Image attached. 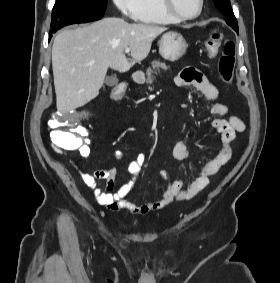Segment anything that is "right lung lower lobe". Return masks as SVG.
I'll return each instance as SVG.
<instances>
[{"label": "right lung lower lobe", "mask_w": 280, "mask_h": 283, "mask_svg": "<svg viewBox=\"0 0 280 283\" xmlns=\"http://www.w3.org/2000/svg\"><path fill=\"white\" fill-rule=\"evenodd\" d=\"M55 32H56V31H54V32H51L49 39H50V38L52 37V34H53V33H55Z\"/></svg>", "instance_id": "1"}]
</instances>
